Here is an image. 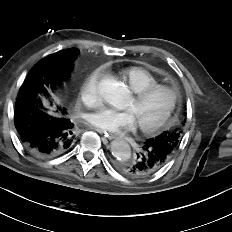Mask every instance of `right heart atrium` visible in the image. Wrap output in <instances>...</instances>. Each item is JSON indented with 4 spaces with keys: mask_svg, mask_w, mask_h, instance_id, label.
Returning <instances> with one entry per match:
<instances>
[{
    "mask_svg": "<svg viewBox=\"0 0 232 232\" xmlns=\"http://www.w3.org/2000/svg\"><path fill=\"white\" fill-rule=\"evenodd\" d=\"M102 69L93 71L84 82L81 95L88 100L90 104L94 105L99 100V81L102 76Z\"/></svg>",
    "mask_w": 232,
    "mask_h": 232,
    "instance_id": "d8ad5b80",
    "label": "right heart atrium"
}]
</instances>
